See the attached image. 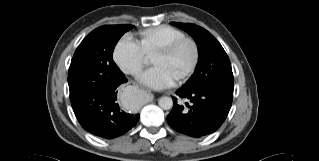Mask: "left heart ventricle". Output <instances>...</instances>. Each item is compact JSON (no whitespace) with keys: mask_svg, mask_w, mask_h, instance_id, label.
Instances as JSON below:
<instances>
[{"mask_svg":"<svg viewBox=\"0 0 319 161\" xmlns=\"http://www.w3.org/2000/svg\"><path fill=\"white\" fill-rule=\"evenodd\" d=\"M193 51L190 45L181 46L175 53L168 57L154 55L152 64L165 69L169 75L176 80L189 66L192 60Z\"/></svg>","mask_w":319,"mask_h":161,"instance_id":"1","label":"left heart ventricle"}]
</instances>
